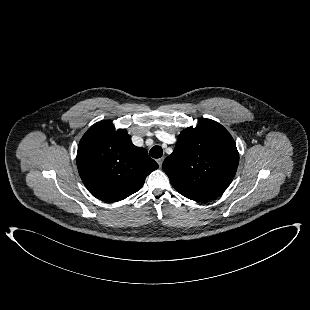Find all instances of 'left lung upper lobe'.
<instances>
[{
    "instance_id": "5c2ea615",
    "label": "left lung upper lobe",
    "mask_w": 310,
    "mask_h": 310,
    "mask_svg": "<svg viewBox=\"0 0 310 310\" xmlns=\"http://www.w3.org/2000/svg\"><path fill=\"white\" fill-rule=\"evenodd\" d=\"M238 163L239 154L230 133L218 122L201 118L195 128L181 131L174 152L162 168L180 194L203 202L227 189Z\"/></svg>"
}]
</instances>
